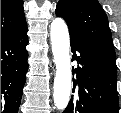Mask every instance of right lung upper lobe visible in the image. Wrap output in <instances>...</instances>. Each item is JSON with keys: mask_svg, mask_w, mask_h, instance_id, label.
I'll list each match as a JSON object with an SVG mask.
<instances>
[{"mask_svg": "<svg viewBox=\"0 0 121 113\" xmlns=\"http://www.w3.org/2000/svg\"><path fill=\"white\" fill-rule=\"evenodd\" d=\"M26 27L23 0H1V40L18 34Z\"/></svg>", "mask_w": 121, "mask_h": 113, "instance_id": "right-lung-upper-lobe-1", "label": "right lung upper lobe"}]
</instances>
